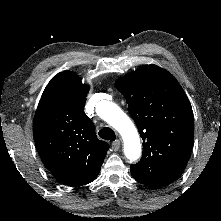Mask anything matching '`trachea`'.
<instances>
[{
	"label": "trachea",
	"instance_id": "obj_1",
	"mask_svg": "<svg viewBox=\"0 0 221 221\" xmlns=\"http://www.w3.org/2000/svg\"><path fill=\"white\" fill-rule=\"evenodd\" d=\"M98 134L104 140L114 141L116 139L115 132L109 127L102 128Z\"/></svg>",
	"mask_w": 221,
	"mask_h": 221
}]
</instances>
